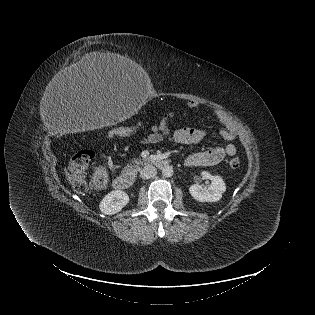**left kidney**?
I'll list each match as a JSON object with an SVG mask.
<instances>
[{
    "label": "left kidney",
    "instance_id": "1",
    "mask_svg": "<svg viewBox=\"0 0 315 315\" xmlns=\"http://www.w3.org/2000/svg\"><path fill=\"white\" fill-rule=\"evenodd\" d=\"M202 176L211 180L208 188H203L199 184H193L189 188L191 196L199 202H217L222 198V194L226 191L223 179L218 175H211L208 172H202Z\"/></svg>",
    "mask_w": 315,
    "mask_h": 315
}]
</instances>
